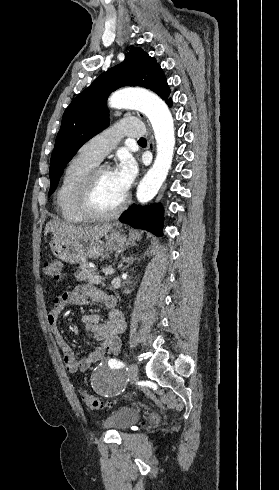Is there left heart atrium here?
<instances>
[{
  "label": "left heart atrium",
  "instance_id": "obj_1",
  "mask_svg": "<svg viewBox=\"0 0 279 490\" xmlns=\"http://www.w3.org/2000/svg\"><path fill=\"white\" fill-rule=\"evenodd\" d=\"M138 173L136 162L130 157H123L112 170L114 182L122 197H126Z\"/></svg>",
  "mask_w": 279,
  "mask_h": 490
}]
</instances>
